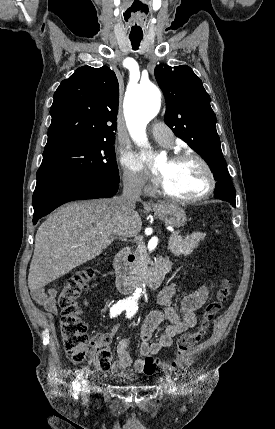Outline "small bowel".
<instances>
[{
  "label": "small bowel",
  "mask_w": 275,
  "mask_h": 429,
  "mask_svg": "<svg viewBox=\"0 0 275 429\" xmlns=\"http://www.w3.org/2000/svg\"><path fill=\"white\" fill-rule=\"evenodd\" d=\"M175 294V286L169 284L165 286L158 295L159 309L148 314L140 330V357L133 360L128 351V340L121 339L116 347L117 360L113 363L111 371L116 376L131 378L135 374L145 372L146 363L149 359L162 349L172 345L174 337L194 327L197 323L196 311L206 302L209 294L207 286H202L196 292L184 296L180 302L179 309L172 305ZM57 288L52 287L48 290L37 288L32 290L33 300L44 307L47 311L55 313ZM87 305V300L84 301ZM164 321L168 325L164 328L159 338L151 342V338L160 324ZM119 331V326H112L107 332L100 333L96 339L109 342Z\"/></svg>",
  "instance_id": "small-bowel-1"
}]
</instances>
